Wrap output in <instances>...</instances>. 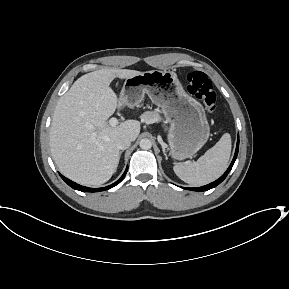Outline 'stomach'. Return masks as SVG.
Returning a JSON list of instances; mask_svg holds the SVG:
<instances>
[{"label": "stomach", "mask_w": 289, "mask_h": 289, "mask_svg": "<svg viewBox=\"0 0 289 289\" xmlns=\"http://www.w3.org/2000/svg\"><path fill=\"white\" fill-rule=\"evenodd\" d=\"M145 94L170 123V155L176 160L192 157L210 136L203 106L184 91L173 71H146L125 80L121 97L127 106H138Z\"/></svg>", "instance_id": "0dacf381"}]
</instances>
